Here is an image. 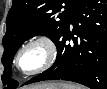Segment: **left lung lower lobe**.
<instances>
[{"label": "left lung lower lobe", "mask_w": 107, "mask_h": 89, "mask_svg": "<svg viewBox=\"0 0 107 89\" xmlns=\"http://www.w3.org/2000/svg\"><path fill=\"white\" fill-rule=\"evenodd\" d=\"M55 44L58 55L53 66L25 85L44 80H68L91 89H106L107 0H82Z\"/></svg>", "instance_id": "left-lung-lower-lobe-1"}]
</instances>
